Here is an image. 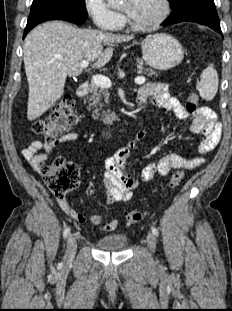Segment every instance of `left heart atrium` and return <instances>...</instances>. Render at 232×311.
Here are the masks:
<instances>
[{"label":"left heart atrium","instance_id":"left-heart-atrium-1","mask_svg":"<svg viewBox=\"0 0 232 311\" xmlns=\"http://www.w3.org/2000/svg\"><path fill=\"white\" fill-rule=\"evenodd\" d=\"M139 0H129L128 6H127V12L129 15H132L137 7Z\"/></svg>","mask_w":232,"mask_h":311}]
</instances>
